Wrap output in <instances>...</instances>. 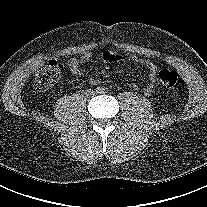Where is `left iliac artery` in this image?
Wrapping results in <instances>:
<instances>
[{
  "mask_svg": "<svg viewBox=\"0 0 207 207\" xmlns=\"http://www.w3.org/2000/svg\"><path fill=\"white\" fill-rule=\"evenodd\" d=\"M103 92H104V93H107V92H108V89H107V88H104V89H103Z\"/></svg>",
  "mask_w": 207,
  "mask_h": 207,
  "instance_id": "left-iliac-artery-1",
  "label": "left iliac artery"
}]
</instances>
